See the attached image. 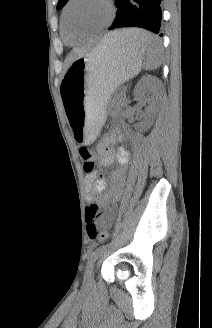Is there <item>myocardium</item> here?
Wrapping results in <instances>:
<instances>
[{
  "mask_svg": "<svg viewBox=\"0 0 212 328\" xmlns=\"http://www.w3.org/2000/svg\"><path fill=\"white\" fill-rule=\"evenodd\" d=\"M74 2H76V0H68L67 4L65 5V7L63 9V13H62L64 26H65L66 30L70 33H71V31L69 29L68 11ZM103 2L108 6L109 12H110L108 23H105L102 26H99L97 28L88 30V31L84 32V34H93V33L100 32V31L104 30L105 28H107L109 23L113 20L115 13H116V7H115L113 0H103Z\"/></svg>",
  "mask_w": 212,
  "mask_h": 328,
  "instance_id": "myocardium-1",
  "label": "myocardium"
}]
</instances>
